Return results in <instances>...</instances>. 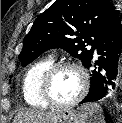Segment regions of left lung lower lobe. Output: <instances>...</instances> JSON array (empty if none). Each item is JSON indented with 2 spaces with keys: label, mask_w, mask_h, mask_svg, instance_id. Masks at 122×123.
I'll return each instance as SVG.
<instances>
[{
  "label": "left lung lower lobe",
  "mask_w": 122,
  "mask_h": 123,
  "mask_svg": "<svg viewBox=\"0 0 122 123\" xmlns=\"http://www.w3.org/2000/svg\"><path fill=\"white\" fill-rule=\"evenodd\" d=\"M95 48L99 55L95 64L99 67L91 71L90 90L80 104L101 99H113L120 90L122 79V26L118 16L114 17L104 30ZM91 60L86 66L87 69L92 66Z\"/></svg>",
  "instance_id": "0a47b994"
}]
</instances>
